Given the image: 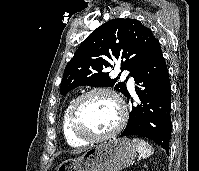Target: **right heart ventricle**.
<instances>
[{
    "mask_svg": "<svg viewBox=\"0 0 199 171\" xmlns=\"http://www.w3.org/2000/svg\"><path fill=\"white\" fill-rule=\"evenodd\" d=\"M72 102L73 101H70L64 109L62 119H61V129H62V133L66 142L70 146L78 147V146H82L86 144V141L76 137L71 131L70 124H69V112H70Z\"/></svg>",
    "mask_w": 199,
    "mask_h": 171,
    "instance_id": "right-heart-ventricle-1",
    "label": "right heart ventricle"
}]
</instances>
